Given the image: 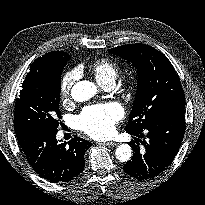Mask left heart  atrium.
Here are the masks:
<instances>
[{"instance_id": "39dd6f15", "label": "left heart atrium", "mask_w": 205, "mask_h": 205, "mask_svg": "<svg viewBox=\"0 0 205 205\" xmlns=\"http://www.w3.org/2000/svg\"><path fill=\"white\" fill-rule=\"evenodd\" d=\"M123 109L116 103L88 106L77 117L78 127L95 138H104L114 132L115 124L122 118Z\"/></svg>"}]
</instances>
